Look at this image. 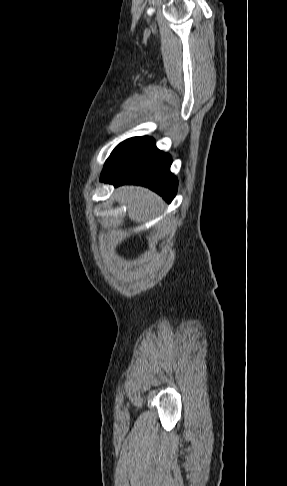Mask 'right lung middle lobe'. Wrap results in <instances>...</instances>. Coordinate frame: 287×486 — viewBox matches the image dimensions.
Wrapping results in <instances>:
<instances>
[{
	"label": "right lung middle lobe",
	"instance_id": "obj_1",
	"mask_svg": "<svg viewBox=\"0 0 287 486\" xmlns=\"http://www.w3.org/2000/svg\"><path fill=\"white\" fill-rule=\"evenodd\" d=\"M139 138L141 137H134V138H130V139H127L125 140L124 142L120 143L114 150L113 152L111 153V155L117 153L118 151L122 150L123 148H125L126 146L130 145L131 143H133L134 141L138 140ZM110 155V156H111Z\"/></svg>",
	"mask_w": 287,
	"mask_h": 486
}]
</instances>
